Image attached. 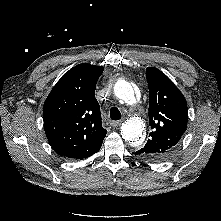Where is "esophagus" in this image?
<instances>
[{"mask_svg":"<svg viewBox=\"0 0 221 221\" xmlns=\"http://www.w3.org/2000/svg\"><path fill=\"white\" fill-rule=\"evenodd\" d=\"M122 124V120L114 121L111 123L113 127H119Z\"/></svg>","mask_w":221,"mask_h":221,"instance_id":"obj_1","label":"esophagus"}]
</instances>
